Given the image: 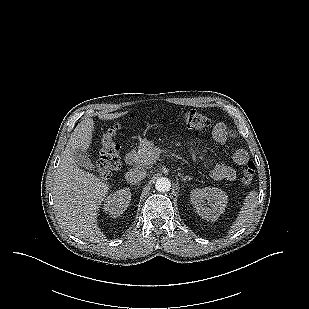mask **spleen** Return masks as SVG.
<instances>
[{"label": "spleen", "mask_w": 309, "mask_h": 309, "mask_svg": "<svg viewBox=\"0 0 309 309\" xmlns=\"http://www.w3.org/2000/svg\"><path fill=\"white\" fill-rule=\"evenodd\" d=\"M258 200V193L251 191L245 197L243 206L240 208L236 221L232 224L230 231L235 232L240 230L252 217Z\"/></svg>", "instance_id": "spleen-1"}]
</instances>
